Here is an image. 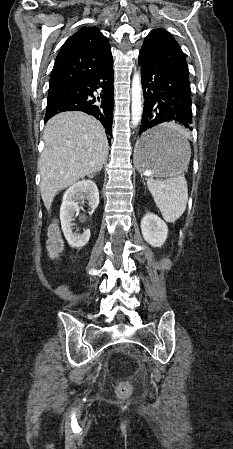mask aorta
Listing matches in <instances>:
<instances>
[{
	"instance_id": "aorta-1",
	"label": "aorta",
	"mask_w": 233,
	"mask_h": 449,
	"mask_svg": "<svg viewBox=\"0 0 233 449\" xmlns=\"http://www.w3.org/2000/svg\"><path fill=\"white\" fill-rule=\"evenodd\" d=\"M142 88H141V74L137 71L132 79V104H131V123L133 126H137L142 117Z\"/></svg>"
}]
</instances>
